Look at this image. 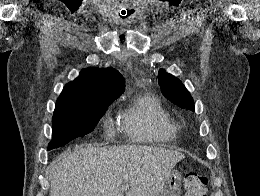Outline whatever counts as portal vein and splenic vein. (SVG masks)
<instances>
[{"label":"portal vein and splenic vein","mask_w":260,"mask_h":196,"mask_svg":"<svg viewBox=\"0 0 260 196\" xmlns=\"http://www.w3.org/2000/svg\"><path fill=\"white\" fill-rule=\"evenodd\" d=\"M121 190H129V184H123Z\"/></svg>","instance_id":"obj_1"}]
</instances>
